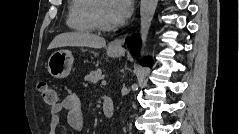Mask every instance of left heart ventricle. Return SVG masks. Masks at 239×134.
<instances>
[{
	"instance_id": "1",
	"label": "left heart ventricle",
	"mask_w": 239,
	"mask_h": 134,
	"mask_svg": "<svg viewBox=\"0 0 239 134\" xmlns=\"http://www.w3.org/2000/svg\"><path fill=\"white\" fill-rule=\"evenodd\" d=\"M99 10H100L101 18L104 21V23L107 25H113L114 23L109 14V2L106 0H102L100 3Z\"/></svg>"
}]
</instances>
